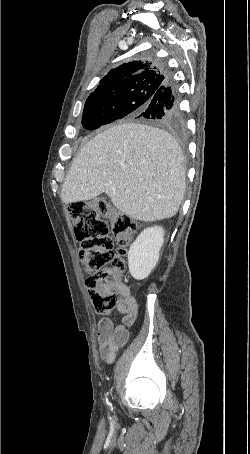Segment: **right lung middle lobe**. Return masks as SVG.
Wrapping results in <instances>:
<instances>
[{
    "mask_svg": "<svg viewBox=\"0 0 250 454\" xmlns=\"http://www.w3.org/2000/svg\"><path fill=\"white\" fill-rule=\"evenodd\" d=\"M160 89L156 85L146 84L116 99L105 98L85 104L82 125L87 130H94L126 116L140 118L139 115L146 110L154 94ZM150 121L157 123L154 120Z\"/></svg>",
    "mask_w": 250,
    "mask_h": 454,
    "instance_id": "right-lung-middle-lobe-1",
    "label": "right lung middle lobe"
}]
</instances>
